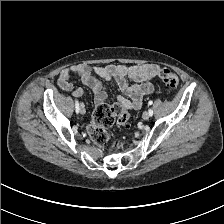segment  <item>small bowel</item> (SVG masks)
I'll return each instance as SVG.
<instances>
[{
  "mask_svg": "<svg viewBox=\"0 0 224 224\" xmlns=\"http://www.w3.org/2000/svg\"><path fill=\"white\" fill-rule=\"evenodd\" d=\"M159 66L154 64L141 65H122L108 64L90 66L87 64H78L61 71L58 85L61 89L72 91L75 97H81L83 90L75 88L70 81L71 74H77L84 85L90 88L94 94V103L99 106L107 98L104 84L97 78H103L114 82L119 90L127 96H118L120 104L129 110H138L142 106L143 96L152 94L154 86L148 81L157 76ZM134 84H130L129 81Z\"/></svg>",
  "mask_w": 224,
  "mask_h": 224,
  "instance_id": "small-bowel-1",
  "label": "small bowel"
}]
</instances>
